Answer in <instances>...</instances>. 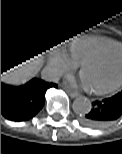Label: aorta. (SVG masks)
I'll return each instance as SVG.
<instances>
[{
  "label": "aorta",
  "mask_w": 122,
  "mask_h": 154,
  "mask_svg": "<svg viewBox=\"0 0 122 154\" xmlns=\"http://www.w3.org/2000/svg\"><path fill=\"white\" fill-rule=\"evenodd\" d=\"M73 111L78 115H85L92 109L91 101L84 96L77 97L72 105Z\"/></svg>",
  "instance_id": "aorta-1"
}]
</instances>
